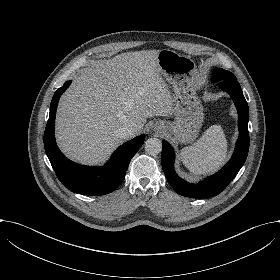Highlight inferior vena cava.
I'll return each mask as SVG.
<instances>
[{
  "label": "inferior vena cava",
  "instance_id": "602c4592",
  "mask_svg": "<svg viewBox=\"0 0 280 280\" xmlns=\"http://www.w3.org/2000/svg\"><path fill=\"white\" fill-rule=\"evenodd\" d=\"M136 130L137 129L123 126L118 130V138H121L122 140H129L135 136Z\"/></svg>",
  "mask_w": 280,
  "mask_h": 280
}]
</instances>
